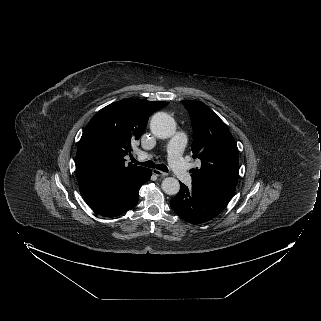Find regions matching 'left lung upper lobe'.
Listing matches in <instances>:
<instances>
[{"label": "left lung upper lobe", "instance_id": "5c2ea615", "mask_svg": "<svg viewBox=\"0 0 321 321\" xmlns=\"http://www.w3.org/2000/svg\"><path fill=\"white\" fill-rule=\"evenodd\" d=\"M193 127V158L201 162L191 172L197 182L237 184L238 148L226 124L203 102L183 100Z\"/></svg>", "mask_w": 321, "mask_h": 321}]
</instances>
